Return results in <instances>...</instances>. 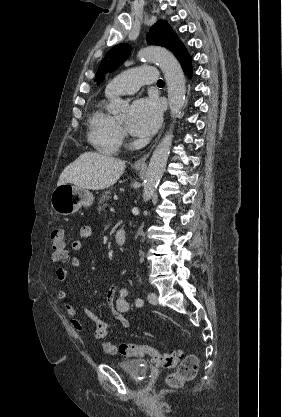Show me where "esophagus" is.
Listing matches in <instances>:
<instances>
[{
    "instance_id": "34e87169",
    "label": "esophagus",
    "mask_w": 282,
    "mask_h": 417,
    "mask_svg": "<svg viewBox=\"0 0 282 417\" xmlns=\"http://www.w3.org/2000/svg\"><path fill=\"white\" fill-rule=\"evenodd\" d=\"M163 129H164V126L162 127V130H161V132L159 133V136H158L157 141H158V140H159V138L161 137L162 132H163ZM157 141H156V142H157ZM155 145H156V143L152 146L151 150L154 148V146H155ZM151 150H150L147 154L143 155V157L139 158V159L137 160V162H135V166H136V167H146V160L148 159V157H149V155H150Z\"/></svg>"
}]
</instances>
